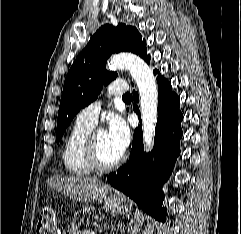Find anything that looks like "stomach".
Wrapping results in <instances>:
<instances>
[{
  "label": "stomach",
  "mask_w": 241,
  "mask_h": 234,
  "mask_svg": "<svg viewBox=\"0 0 241 234\" xmlns=\"http://www.w3.org/2000/svg\"><path fill=\"white\" fill-rule=\"evenodd\" d=\"M101 202L104 205V208L106 211H109L111 213H121V212H127L130 207L127 204L123 203V200L121 197L115 195V194H109L105 195L101 198ZM64 234H85L81 228L80 224L76 223L75 219L68 220L66 229L64 231Z\"/></svg>",
  "instance_id": "stomach-1"
}]
</instances>
